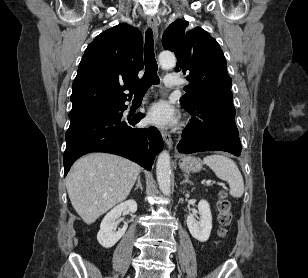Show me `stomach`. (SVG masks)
Segmentation results:
<instances>
[{
  "instance_id": "obj_1",
  "label": "stomach",
  "mask_w": 308,
  "mask_h": 278,
  "mask_svg": "<svg viewBox=\"0 0 308 278\" xmlns=\"http://www.w3.org/2000/svg\"><path fill=\"white\" fill-rule=\"evenodd\" d=\"M179 166L186 173L198 172L202 168V162L196 157L185 156L181 159Z\"/></svg>"
}]
</instances>
